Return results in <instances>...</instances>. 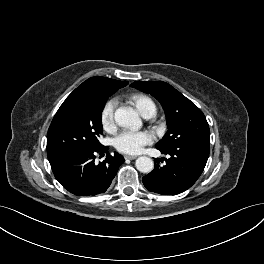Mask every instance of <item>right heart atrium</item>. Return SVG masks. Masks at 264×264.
<instances>
[{
	"instance_id": "1",
	"label": "right heart atrium",
	"mask_w": 264,
	"mask_h": 264,
	"mask_svg": "<svg viewBox=\"0 0 264 264\" xmlns=\"http://www.w3.org/2000/svg\"><path fill=\"white\" fill-rule=\"evenodd\" d=\"M117 100L112 98L105 102L100 112V120L103 128L107 131L115 129V108Z\"/></svg>"
}]
</instances>
